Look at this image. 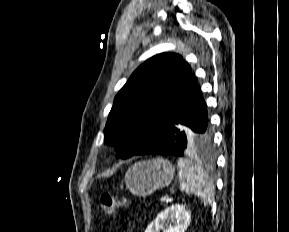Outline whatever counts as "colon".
Listing matches in <instances>:
<instances>
[{"label":"colon","instance_id":"obj_1","mask_svg":"<svg viewBox=\"0 0 289 232\" xmlns=\"http://www.w3.org/2000/svg\"><path fill=\"white\" fill-rule=\"evenodd\" d=\"M100 203L104 214L109 218L115 215L118 208L128 205L125 199L114 197L108 193L100 196Z\"/></svg>","mask_w":289,"mask_h":232}]
</instances>
